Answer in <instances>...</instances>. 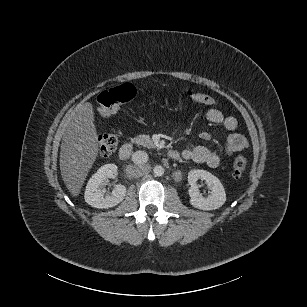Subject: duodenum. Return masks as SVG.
<instances>
[{"mask_svg":"<svg viewBox=\"0 0 307 307\" xmlns=\"http://www.w3.org/2000/svg\"><path fill=\"white\" fill-rule=\"evenodd\" d=\"M133 151V145L131 143H124L119 150V157L121 160H127L131 156ZM168 156L171 159H177L179 157V153L176 150H169Z\"/></svg>","mask_w":307,"mask_h":307,"instance_id":"obj_1","label":"duodenum"}]
</instances>
